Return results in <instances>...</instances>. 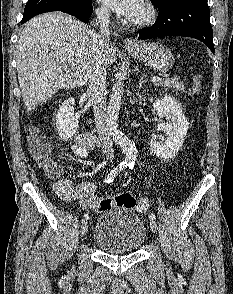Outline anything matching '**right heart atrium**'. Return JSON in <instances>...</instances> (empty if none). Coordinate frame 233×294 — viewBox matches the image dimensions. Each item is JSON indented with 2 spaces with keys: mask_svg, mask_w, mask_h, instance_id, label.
I'll return each instance as SVG.
<instances>
[{
  "mask_svg": "<svg viewBox=\"0 0 233 294\" xmlns=\"http://www.w3.org/2000/svg\"><path fill=\"white\" fill-rule=\"evenodd\" d=\"M96 14L100 19H107L109 17V10L103 6L96 9Z\"/></svg>",
  "mask_w": 233,
  "mask_h": 294,
  "instance_id": "obj_1",
  "label": "right heart atrium"
}]
</instances>
